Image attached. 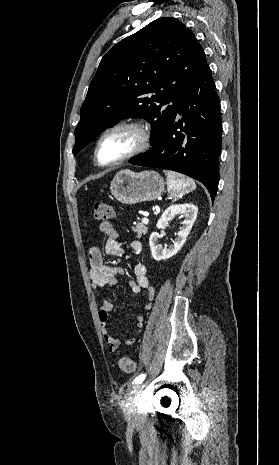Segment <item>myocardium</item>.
Masks as SVG:
<instances>
[{
	"mask_svg": "<svg viewBox=\"0 0 279 465\" xmlns=\"http://www.w3.org/2000/svg\"><path fill=\"white\" fill-rule=\"evenodd\" d=\"M120 129H132V130H135L139 134V143H138V145L132 151H130L129 153H127L126 155L120 157L117 160H114V161L108 162V163L101 162L100 159H99V148H100L101 142L103 141V139L108 134H110V133H112L114 131L120 130ZM152 140H153L152 130H151L150 126L147 123L143 122V121L132 120V121H125V122L117 123V124L107 128L106 130H104L103 133L98 138V140L96 142V145H95V149H94L95 161L99 166H102V167H110V166H115V165L121 164V163H123V162H125V161H127V160H129V159H131V158L145 152L151 146Z\"/></svg>",
	"mask_w": 279,
	"mask_h": 465,
	"instance_id": "1",
	"label": "myocardium"
}]
</instances>
